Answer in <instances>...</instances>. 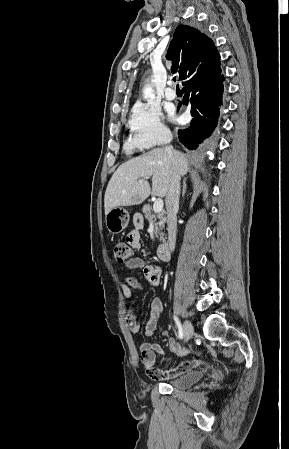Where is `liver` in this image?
<instances>
[{"label": "liver", "instance_id": "6515ba94", "mask_svg": "<svg viewBox=\"0 0 289 449\" xmlns=\"http://www.w3.org/2000/svg\"><path fill=\"white\" fill-rule=\"evenodd\" d=\"M172 169L184 176L188 171V161L183 153L176 150L169 153L164 148L153 149L120 165L105 192V215L116 207L139 205L150 194L165 197ZM150 177L152 189L146 181ZM140 179L144 181L139 183Z\"/></svg>", "mask_w": 289, "mask_h": 449}]
</instances>
